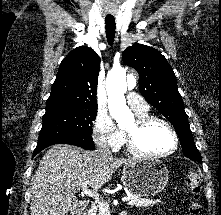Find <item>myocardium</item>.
Listing matches in <instances>:
<instances>
[{
	"mask_svg": "<svg viewBox=\"0 0 221 215\" xmlns=\"http://www.w3.org/2000/svg\"><path fill=\"white\" fill-rule=\"evenodd\" d=\"M154 122H159L164 124L168 130L170 131L172 137H173V147L171 150L165 153H151L146 150H144L138 143V135L140 132H142L146 127H148L150 124ZM126 139H127V145L131 152H133L136 155L142 156V157H148V158H164L172 155L176 152L179 146V138L177 135L176 130L172 126L170 122L165 120L164 118L153 116V115H147L143 117H137L136 119V127L134 131H127L126 132Z\"/></svg>",
	"mask_w": 221,
	"mask_h": 215,
	"instance_id": "f54148a6",
	"label": "myocardium"
}]
</instances>
